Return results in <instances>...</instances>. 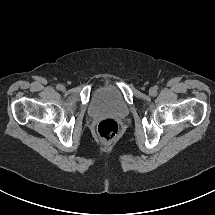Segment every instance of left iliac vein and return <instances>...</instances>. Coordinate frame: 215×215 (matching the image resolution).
I'll return each instance as SVG.
<instances>
[{"mask_svg":"<svg viewBox=\"0 0 215 215\" xmlns=\"http://www.w3.org/2000/svg\"><path fill=\"white\" fill-rule=\"evenodd\" d=\"M149 94H150L151 96H155V95H156V89H155V87H151V88L149 89Z\"/></svg>","mask_w":215,"mask_h":215,"instance_id":"4c4485c4","label":"left iliac vein"}]
</instances>
